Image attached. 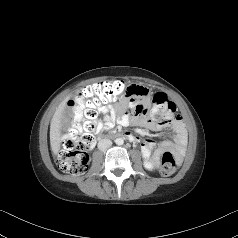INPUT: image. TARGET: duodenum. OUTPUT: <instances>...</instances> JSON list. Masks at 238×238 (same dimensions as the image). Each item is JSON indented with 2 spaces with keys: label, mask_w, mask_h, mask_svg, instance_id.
I'll use <instances>...</instances> for the list:
<instances>
[{
  "label": "duodenum",
  "mask_w": 238,
  "mask_h": 238,
  "mask_svg": "<svg viewBox=\"0 0 238 238\" xmlns=\"http://www.w3.org/2000/svg\"><path fill=\"white\" fill-rule=\"evenodd\" d=\"M118 136H123L125 138H127L130 141H137V137H135L134 135L130 134V133H122V134H117Z\"/></svg>",
  "instance_id": "1"
}]
</instances>
